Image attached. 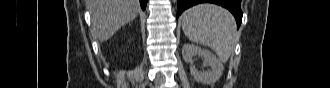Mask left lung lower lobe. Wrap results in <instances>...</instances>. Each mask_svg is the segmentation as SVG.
I'll return each instance as SVG.
<instances>
[{
    "label": "left lung lower lobe",
    "mask_w": 330,
    "mask_h": 88,
    "mask_svg": "<svg viewBox=\"0 0 330 88\" xmlns=\"http://www.w3.org/2000/svg\"><path fill=\"white\" fill-rule=\"evenodd\" d=\"M200 3H214L228 9L236 19L237 28L242 22L241 0H178L177 18L187 8Z\"/></svg>",
    "instance_id": "left-lung-lower-lobe-1"
}]
</instances>
